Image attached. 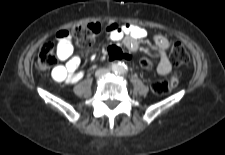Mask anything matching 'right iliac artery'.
Masks as SVG:
<instances>
[{
	"instance_id": "1",
	"label": "right iliac artery",
	"mask_w": 225,
	"mask_h": 155,
	"mask_svg": "<svg viewBox=\"0 0 225 155\" xmlns=\"http://www.w3.org/2000/svg\"><path fill=\"white\" fill-rule=\"evenodd\" d=\"M111 69L113 71H116L118 69V66L116 64H112Z\"/></svg>"
}]
</instances>
